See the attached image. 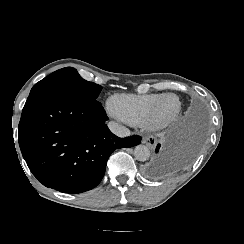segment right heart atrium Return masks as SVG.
Masks as SVG:
<instances>
[{"label": "right heart atrium", "instance_id": "right-heart-atrium-1", "mask_svg": "<svg viewBox=\"0 0 244 244\" xmlns=\"http://www.w3.org/2000/svg\"><path fill=\"white\" fill-rule=\"evenodd\" d=\"M110 111H111V113H113L112 105H111Z\"/></svg>", "mask_w": 244, "mask_h": 244}]
</instances>
